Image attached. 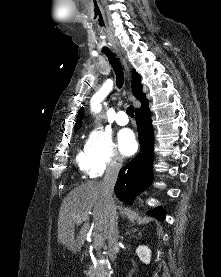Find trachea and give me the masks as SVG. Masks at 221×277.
<instances>
[{"label": "trachea", "instance_id": "3493384b", "mask_svg": "<svg viewBox=\"0 0 221 277\" xmlns=\"http://www.w3.org/2000/svg\"><path fill=\"white\" fill-rule=\"evenodd\" d=\"M103 53L107 56L109 63L111 64L112 68L114 69V72L116 74V84H117V87L120 89L124 84L123 69L111 51H109V50L103 51ZM126 113L128 114V116L133 118L134 117V107L132 105L128 106L126 109Z\"/></svg>", "mask_w": 221, "mask_h": 277}]
</instances>
